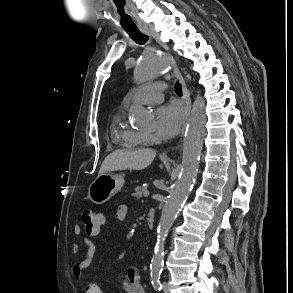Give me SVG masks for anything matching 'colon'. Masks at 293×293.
Masks as SVG:
<instances>
[{"label":"colon","mask_w":293,"mask_h":293,"mask_svg":"<svg viewBox=\"0 0 293 293\" xmlns=\"http://www.w3.org/2000/svg\"><path fill=\"white\" fill-rule=\"evenodd\" d=\"M81 221L88 231H95L101 224V216L99 211L92 209H84L80 215ZM93 293H100L98 288H93Z\"/></svg>","instance_id":"colon-1"}]
</instances>
